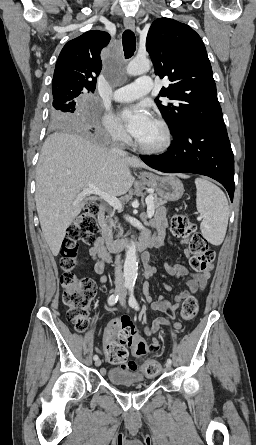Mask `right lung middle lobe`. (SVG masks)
<instances>
[{
  "instance_id": "dd1d6c3e",
  "label": "right lung middle lobe",
  "mask_w": 256,
  "mask_h": 445,
  "mask_svg": "<svg viewBox=\"0 0 256 445\" xmlns=\"http://www.w3.org/2000/svg\"><path fill=\"white\" fill-rule=\"evenodd\" d=\"M81 93L62 92L53 94V104L50 111V120L54 126L71 125L77 119L75 113L77 100Z\"/></svg>"
}]
</instances>
